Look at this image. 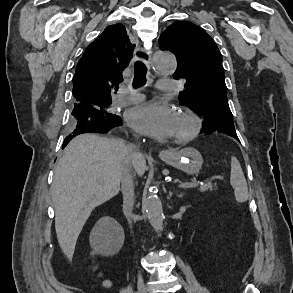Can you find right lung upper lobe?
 <instances>
[{
    "label": "right lung upper lobe",
    "instance_id": "cb5924a9",
    "mask_svg": "<svg viewBox=\"0 0 293 293\" xmlns=\"http://www.w3.org/2000/svg\"><path fill=\"white\" fill-rule=\"evenodd\" d=\"M135 45L122 24L107 26L103 33L86 48L73 77L75 104L97 106L98 99L111 100V93L123 80Z\"/></svg>",
    "mask_w": 293,
    "mask_h": 293
}]
</instances>
